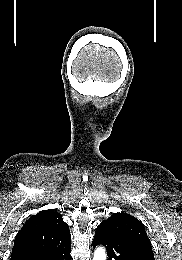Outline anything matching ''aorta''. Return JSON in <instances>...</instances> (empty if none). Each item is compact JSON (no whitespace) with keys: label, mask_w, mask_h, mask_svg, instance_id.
Returning <instances> with one entry per match:
<instances>
[{"label":"aorta","mask_w":182,"mask_h":260,"mask_svg":"<svg viewBox=\"0 0 182 260\" xmlns=\"http://www.w3.org/2000/svg\"><path fill=\"white\" fill-rule=\"evenodd\" d=\"M93 260H107L106 251L103 247H97L95 249Z\"/></svg>","instance_id":"aorta-1"}]
</instances>
